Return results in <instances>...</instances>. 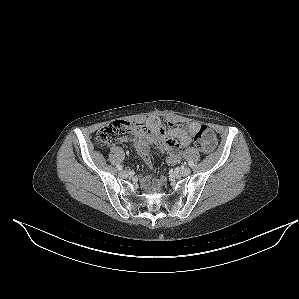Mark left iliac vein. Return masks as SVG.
Masks as SVG:
<instances>
[{"instance_id": "obj_1", "label": "left iliac vein", "mask_w": 299, "mask_h": 299, "mask_svg": "<svg viewBox=\"0 0 299 299\" xmlns=\"http://www.w3.org/2000/svg\"><path fill=\"white\" fill-rule=\"evenodd\" d=\"M191 173V169L189 167H184L179 171L181 176H188Z\"/></svg>"}]
</instances>
